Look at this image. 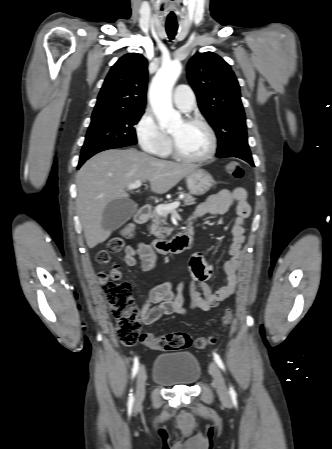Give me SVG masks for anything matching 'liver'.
Here are the masks:
<instances>
[{
	"instance_id": "6515ba94",
	"label": "liver",
	"mask_w": 332,
	"mask_h": 449,
	"mask_svg": "<svg viewBox=\"0 0 332 449\" xmlns=\"http://www.w3.org/2000/svg\"><path fill=\"white\" fill-rule=\"evenodd\" d=\"M197 166L153 158L135 149H111L88 160L78 171L77 210L87 246L94 248L111 235L102 226L104 208L113 200L127 198V186L150 181L151 191L163 194Z\"/></svg>"
}]
</instances>
